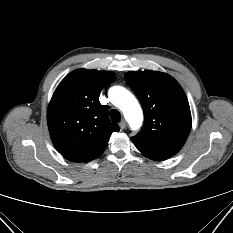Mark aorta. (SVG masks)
Segmentation results:
<instances>
[{
  "label": "aorta",
  "instance_id": "aorta-1",
  "mask_svg": "<svg viewBox=\"0 0 233 233\" xmlns=\"http://www.w3.org/2000/svg\"><path fill=\"white\" fill-rule=\"evenodd\" d=\"M110 101L124 114L131 129H138L143 121V114L136 98L124 87L113 86L108 92Z\"/></svg>",
  "mask_w": 233,
  "mask_h": 233
}]
</instances>
